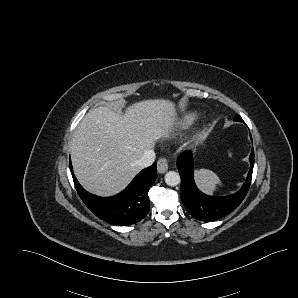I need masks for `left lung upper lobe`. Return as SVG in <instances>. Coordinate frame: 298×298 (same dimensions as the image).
Here are the masks:
<instances>
[{
  "label": "left lung upper lobe",
  "mask_w": 298,
  "mask_h": 298,
  "mask_svg": "<svg viewBox=\"0 0 298 298\" xmlns=\"http://www.w3.org/2000/svg\"><path fill=\"white\" fill-rule=\"evenodd\" d=\"M235 121H240L242 122V118L239 115H236L234 118Z\"/></svg>",
  "instance_id": "left-lung-upper-lobe-1"
}]
</instances>
